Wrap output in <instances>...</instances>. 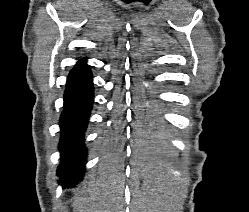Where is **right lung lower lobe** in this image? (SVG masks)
<instances>
[{"instance_id":"right-lung-lower-lobe-1","label":"right lung lower lobe","mask_w":249,"mask_h":212,"mask_svg":"<svg viewBox=\"0 0 249 212\" xmlns=\"http://www.w3.org/2000/svg\"><path fill=\"white\" fill-rule=\"evenodd\" d=\"M84 59L70 72L64 94V110L60 119L62 156L57 172L58 182L63 187H75L82 180L86 163L84 131L92 109L94 90L92 73Z\"/></svg>"}]
</instances>
